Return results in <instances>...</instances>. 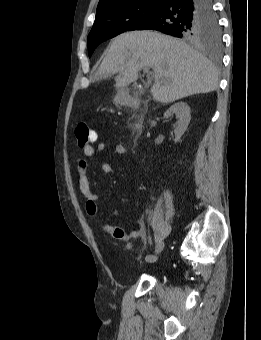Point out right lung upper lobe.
<instances>
[{"instance_id":"right-lung-upper-lobe-1","label":"right lung upper lobe","mask_w":261,"mask_h":340,"mask_svg":"<svg viewBox=\"0 0 261 340\" xmlns=\"http://www.w3.org/2000/svg\"><path fill=\"white\" fill-rule=\"evenodd\" d=\"M137 1H147V0H100L98 7H97L96 17H98L103 12L109 9L124 6V5L137 2Z\"/></svg>"}]
</instances>
